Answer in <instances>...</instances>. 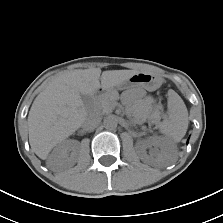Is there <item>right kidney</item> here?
Masks as SVG:
<instances>
[{
    "label": "right kidney",
    "mask_w": 223,
    "mask_h": 223,
    "mask_svg": "<svg viewBox=\"0 0 223 223\" xmlns=\"http://www.w3.org/2000/svg\"><path fill=\"white\" fill-rule=\"evenodd\" d=\"M77 145L78 143L73 140H66L58 144L50 154L47 165L53 169L73 166ZM70 151L72 152L69 154Z\"/></svg>",
    "instance_id": "obj_1"
}]
</instances>
